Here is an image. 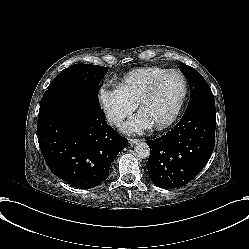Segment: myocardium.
I'll list each match as a JSON object with an SVG mask.
<instances>
[{
	"label": "myocardium",
	"instance_id": "1",
	"mask_svg": "<svg viewBox=\"0 0 249 249\" xmlns=\"http://www.w3.org/2000/svg\"><path fill=\"white\" fill-rule=\"evenodd\" d=\"M172 78H177L180 86H181V92L179 99L177 101V104L175 106V109L173 113L171 114L170 118L163 122V123H149L150 127L156 128V129H163L168 126H170L178 117L180 110L183 106L185 96H186V82L185 78L179 71H171L166 73L155 85L154 87L145 95V97L142 99V101L137 105V114L142 117V112L144 107L151 101L156 94L160 91L162 87H164Z\"/></svg>",
	"mask_w": 249,
	"mask_h": 249
}]
</instances>
